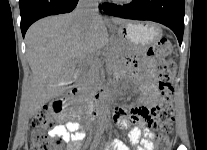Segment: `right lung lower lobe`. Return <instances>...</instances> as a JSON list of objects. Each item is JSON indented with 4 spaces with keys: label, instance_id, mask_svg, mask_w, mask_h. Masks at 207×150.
<instances>
[{
    "label": "right lung lower lobe",
    "instance_id": "right-lung-lower-lobe-1",
    "mask_svg": "<svg viewBox=\"0 0 207 150\" xmlns=\"http://www.w3.org/2000/svg\"><path fill=\"white\" fill-rule=\"evenodd\" d=\"M78 0H20L21 31L24 37L29 26L36 20L61 13L71 12ZM101 9V6H99Z\"/></svg>",
    "mask_w": 207,
    "mask_h": 150
}]
</instances>
